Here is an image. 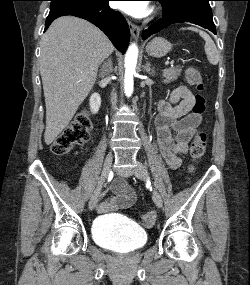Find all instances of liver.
<instances>
[{
    "label": "liver",
    "instance_id": "liver-1",
    "mask_svg": "<svg viewBox=\"0 0 250 285\" xmlns=\"http://www.w3.org/2000/svg\"><path fill=\"white\" fill-rule=\"evenodd\" d=\"M113 50L102 31L76 17H60L45 32L39 66L46 104L47 145L69 124L93 88L99 65Z\"/></svg>",
    "mask_w": 250,
    "mask_h": 285
}]
</instances>
